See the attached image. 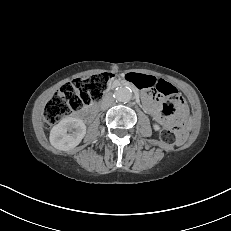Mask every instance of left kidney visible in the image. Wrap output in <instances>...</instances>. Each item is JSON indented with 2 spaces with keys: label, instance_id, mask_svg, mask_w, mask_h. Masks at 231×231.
<instances>
[{
  "label": "left kidney",
  "instance_id": "5707ae66",
  "mask_svg": "<svg viewBox=\"0 0 231 231\" xmlns=\"http://www.w3.org/2000/svg\"><path fill=\"white\" fill-rule=\"evenodd\" d=\"M153 128H154V130H156V131L160 130V126L157 125V124H154V125H153Z\"/></svg>",
  "mask_w": 231,
  "mask_h": 231
}]
</instances>
